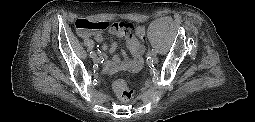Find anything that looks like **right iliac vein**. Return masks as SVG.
I'll list each match as a JSON object with an SVG mask.
<instances>
[{
	"instance_id": "right-iliac-vein-1",
	"label": "right iliac vein",
	"mask_w": 255,
	"mask_h": 122,
	"mask_svg": "<svg viewBox=\"0 0 255 122\" xmlns=\"http://www.w3.org/2000/svg\"><path fill=\"white\" fill-rule=\"evenodd\" d=\"M92 60L97 62L99 61V57L95 54L94 56H92Z\"/></svg>"
}]
</instances>
